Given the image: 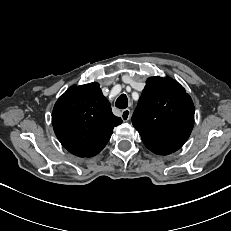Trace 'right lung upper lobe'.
Here are the masks:
<instances>
[{
  "label": "right lung upper lobe",
  "instance_id": "obj_1",
  "mask_svg": "<svg viewBox=\"0 0 231 231\" xmlns=\"http://www.w3.org/2000/svg\"><path fill=\"white\" fill-rule=\"evenodd\" d=\"M122 119L113 115L96 82L70 87L52 112L54 132L61 144L79 157H92L107 144Z\"/></svg>",
  "mask_w": 231,
  "mask_h": 231
}]
</instances>
